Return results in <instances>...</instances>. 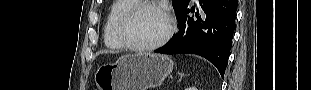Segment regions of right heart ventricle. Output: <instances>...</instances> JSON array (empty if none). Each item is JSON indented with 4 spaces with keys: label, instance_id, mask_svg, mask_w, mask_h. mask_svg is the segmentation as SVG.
I'll return each mask as SVG.
<instances>
[{
    "label": "right heart ventricle",
    "instance_id": "e07e8e85",
    "mask_svg": "<svg viewBox=\"0 0 311 90\" xmlns=\"http://www.w3.org/2000/svg\"><path fill=\"white\" fill-rule=\"evenodd\" d=\"M137 3L138 1L136 0H117L112 3L103 31L104 43L110 50H122L125 48L118 37V24L122 15Z\"/></svg>",
    "mask_w": 311,
    "mask_h": 90
}]
</instances>
